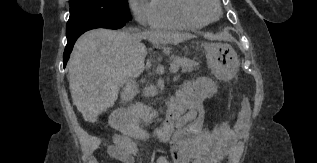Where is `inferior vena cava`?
Here are the masks:
<instances>
[{"label": "inferior vena cava", "mask_w": 317, "mask_h": 163, "mask_svg": "<svg viewBox=\"0 0 317 163\" xmlns=\"http://www.w3.org/2000/svg\"><path fill=\"white\" fill-rule=\"evenodd\" d=\"M136 90V85L133 80H130L126 83L123 88V92L121 93V97L123 101H129L133 98Z\"/></svg>", "instance_id": "602c4592"}]
</instances>
